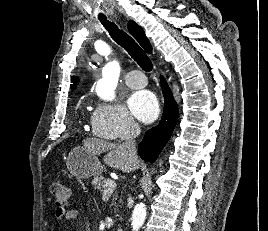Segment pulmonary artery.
<instances>
[{"instance_id": "obj_1", "label": "pulmonary artery", "mask_w": 268, "mask_h": 231, "mask_svg": "<svg viewBox=\"0 0 268 231\" xmlns=\"http://www.w3.org/2000/svg\"><path fill=\"white\" fill-rule=\"evenodd\" d=\"M126 85L133 89H140L146 86L144 74L137 69L130 70L125 77Z\"/></svg>"}]
</instances>
